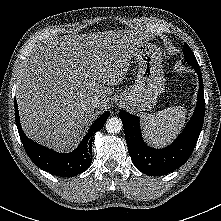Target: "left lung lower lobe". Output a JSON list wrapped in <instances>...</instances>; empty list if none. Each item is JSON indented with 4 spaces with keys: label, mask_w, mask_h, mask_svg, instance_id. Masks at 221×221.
Here are the masks:
<instances>
[{
    "label": "left lung lower lobe",
    "mask_w": 221,
    "mask_h": 221,
    "mask_svg": "<svg viewBox=\"0 0 221 221\" xmlns=\"http://www.w3.org/2000/svg\"><path fill=\"white\" fill-rule=\"evenodd\" d=\"M194 69L199 77L197 105L191 120L170 146L163 149L147 146L142 138L139 117L122 110L119 112L131 159L136 168L147 175L161 176L176 170L188 160L194 150L205 115L202 75L200 67Z\"/></svg>",
    "instance_id": "obj_1"
}]
</instances>
